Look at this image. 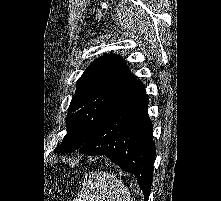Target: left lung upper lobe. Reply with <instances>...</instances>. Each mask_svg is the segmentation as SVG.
Here are the masks:
<instances>
[{
  "instance_id": "obj_1",
  "label": "left lung upper lobe",
  "mask_w": 221,
  "mask_h": 201,
  "mask_svg": "<svg viewBox=\"0 0 221 201\" xmlns=\"http://www.w3.org/2000/svg\"><path fill=\"white\" fill-rule=\"evenodd\" d=\"M142 86L119 55L99 57L77 82L66 118L67 134L56 153L79 149L106 114Z\"/></svg>"
}]
</instances>
